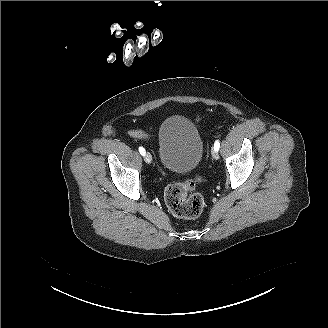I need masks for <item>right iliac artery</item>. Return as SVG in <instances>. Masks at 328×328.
I'll use <instances>...</instances> for the list:
<instances>
[{"instance_id": "obj_1", "label": "right iliac artery", "mask_w": 328, "mask_h": 328, "mask_svg": "<svg viewBox=\"0 0 328 328\" xmlns=\"http://www.w3.org/2000/svg\"><path fill=\"white\" fill-rule=\"evenodd\" d=\"M139 152L141 155L145 154V149L143 147H139Z\"/></svg>"}]
</instances>
